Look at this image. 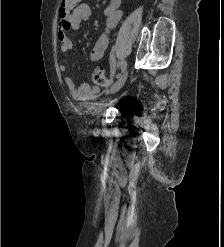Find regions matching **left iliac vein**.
Wrapping results in <instances>:
<instances>
[{
    "label": "left iliac vein",
    "instance_id": "left-iliac-vein-1",
    "mask_svg": "<svg viewBox=\"0 0 224 247\" xmlns=\"http://www.w3.org/2000/svg\"><path fill=\"white\" fill-rule=\"evenodd\" d=\"M128 73L129 71L126 70L121 76L120 78L117 80V82L112 86L110 92L111 93H115L117 91H119L123 85L125 84L127 77H128Z\"/></svg>",
    "mask_w": 224,
    "mask_h": 247
}]
</instances>
